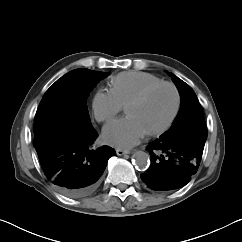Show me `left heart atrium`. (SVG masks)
Masks as SVG:
<instances>
[{"label":"left heart atrium","instance_id":"1","mask_svg":"<svg viewBox=\"0 0 242 242\" xmlns=\"http://www.w3.org/2000/svg\"><path fill=\"white\" fill-rule=\"evenodd\" d=\"M146 132L137 123L133 116L127 114L124 117L113 120L103 129V140L113 146L129 148L136 145Z\"/></svg>","mask_w":242,"mask_h":242}]
</instances>
